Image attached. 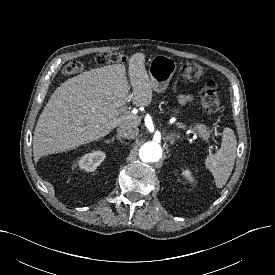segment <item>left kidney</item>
<instances>
[{
    "instance_id": "left-kidney-1",
    "label": "left kidney",
    "mask_w": 275,
    "mask_h": 275,
    "mask_svg": "<svg viewBox=\"0 0 275 275\" xmlns=\"http://www.w3.org/2000/svg\"><path fill=\"white\" fill-rule=\"evenodd\" d=\"M182 175L189 181V182H193L194 181V177L192 175V172L189 169H183L182 170Z\"/></svg>"
}]
</instances>
